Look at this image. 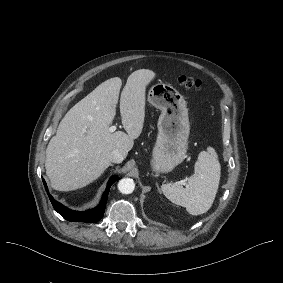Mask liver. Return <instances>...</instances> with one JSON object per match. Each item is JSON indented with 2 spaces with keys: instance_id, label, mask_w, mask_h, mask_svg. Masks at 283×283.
Masks as SVG:
<instances>
[{
  "instance_id": "liver-1",
  "label": "liver",
  "mask_w": 283,
  "mask_h": 283,
  "mask_svg": "<svg viewBox=\"0 0 283 283\" xmlns=\"http://www.w3.org/2000/svg\"><path fill=\"white\" fill-rule=\"evenodd\" d=\"M154 77L153 71L139 69L127 79L120 97L121 120L127 133L109 132L122 86L119 77L101 83L66 113L46 149V174L53 189L85 187L109 167L113 150L127 156L142 132L145 88Z\"/></svg>"
}]
</instances>
